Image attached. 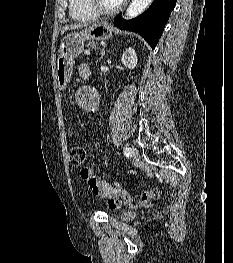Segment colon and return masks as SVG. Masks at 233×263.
Wrapping results in <instances>:
<instances>
[{"mask_svg":"<svg viewBox=\"0 0 233 263\" xmlns=\"http://www.w3.org/2000/svg\"><path fill=\"white\" fill-rule=\"evenodd\" d=\"M69 156L71 164L78 167L84 164L86 159V152L83 147L73 146L70 148ZM84 175L88 176L87 172H85ZM89 181L93 182V179L90 178ZM112 187L117 191L121 202L128 207H141L147 204L148 201L159 199L161 196V191L157 188L144 191L137 196L131 197L120 187L118 183H113Z\"/></svg>","mask_w":233,"mask_h":263,"instance_id":"colon-1","label":"colon"}]
</instances>
